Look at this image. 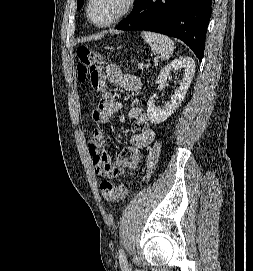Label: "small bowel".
<instances>
[{"label": "small bowel", "mask_w": 253, "mask_h": 271, "mask_svg": "<svg viewBox=\"0 0 253 271\" xmlns=\"http://www.w3.org/2000/svg\"><path fill=\"white\" fill-rule=\"evenodd\" d=\"M98 75L100 97L91 117L94 122L106 125L110 123L113 115L122 109V104L115 100L113 92L106 86V81L123 88L128 93L137 92L141 81L136 76L122 73L113 65H109L105 71L99 69ZM128 118L134 120L138 132L131 136L127 146L114 160L102 150L106 143L104 132L101 129L92 131L87 142V152L97 176L113 179L125 170L134 169L141 158V150L154 140L155 131L149 126L148 117L140 108H131Z\"/></svg>", "instance_id": "small-bowel-1"}]
</instances>
